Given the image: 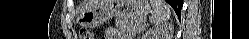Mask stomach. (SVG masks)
Segmentation results:
<instances>
[{"label":"stomach","mask_w":249,"mask_h":39,"mask_svg":"<svg viewBox=\"0 0 249 39\" xmlns=\"http://www.w3.org/2000/svg\"><path fill=\"white\" fill-rule=\"evenodd\" d=\"M149 13L150 6L147 0H114L112 3L99 2L83 10L78 17V23L86 28H95L114 16L143 22Z\"/></svg>","instance_id":"obj_1"}]
</instances>
